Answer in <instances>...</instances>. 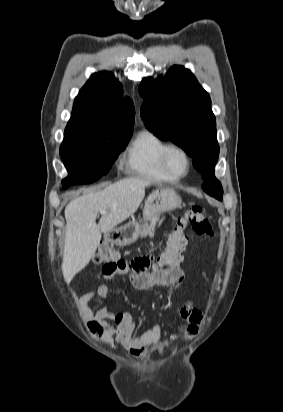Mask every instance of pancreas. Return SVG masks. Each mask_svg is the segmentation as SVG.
<instances>
[{
  "label": "pancreas",
  "instance_id": "obj_1",
  "mask_svg": "<svg viewBox=\"0 0 283 412\" xmlns=\"http://www.w3.org/2000/svg\"><path fill=\"white\" fill-rule=\"evenodd\" d=\"M154 230H155V222H152L150 225L146 223L143 225L142 229L140 230V235L142 237H145L147 235H149L150 237H153Z\"/></svg>",
  "mask_w": 283,
  "mask_h": 412
}]
</instances>
